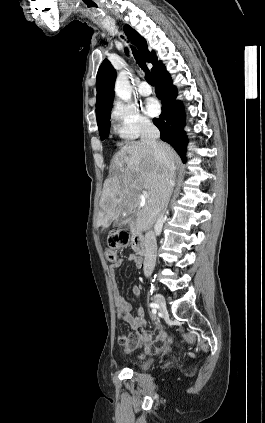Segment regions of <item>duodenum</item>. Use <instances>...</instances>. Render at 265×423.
I'll use <instances>...</instances> for the list:
<instances>
[{
	"instance_id": "1",
	"label": "duodenum",
	"mask_w": 265,
	"mask_h": 423,
	"mask_svg": "<svg viewBox=\"0 0 265 423\" xmlns=\"http://www.w3.org/2000/svg\"><path fill=\"white\" fill-rule=\"evenodd\" d=\"M132 247L134 251L140 256H144L145 254V243L144 239L136 227L135 224L132 226Z\"/></svg>"
}]
</instances>
